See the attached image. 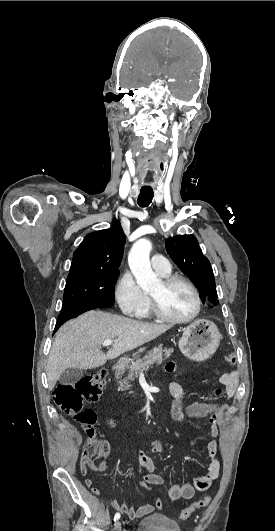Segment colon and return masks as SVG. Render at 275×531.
Wrapping results in <instances>:
<instances>
[{"label":"colon","mask_w":275,"mask_h":531,"mask_svg":"<svg viewBox=\"0 0 275 531\" xmlns=\"http://www.w3.org/2000/svg\"><path fill=\"white\" fill-rule=\"evenodd\" d=\"M225 356L228 364L233 365L236 363L234 350H227ZM105 383L106 372L98 371L93 375L83 376L75 381L58 384L53 391V400L57 407L62 412L71 415L82 426L86 434L87 441L83 449L81 462L83 471L89 468L99 470L105 465L104 456L107 453L108 445L96 437V413L92 409L84 408L86 403L96 401L99 398ZM86 483L90 488H93L92 479H87ZM140 485H143L145 490L150 488L148 483L141 482ZM210 501V496H204L194 501L187 509L182 511L180 521L188 522L190 513L206 508ZM156 507L161 509L163 502L158 500Z\"/></svg>","instance_id":"1"}]
</instances>
